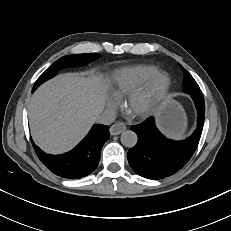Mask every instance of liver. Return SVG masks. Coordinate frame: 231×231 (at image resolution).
<instances>
[{
    "label": "liver",
    "mask_w": 231,
    "mask_h": 231,
    "mask_svg": "<svg viewBox=\"0 0 231 231\" xmlns=\"http://www.w3.org/2000/svg\"><path fill=\"white\" fill-rule=\"evenodd\" d=\"M104 102V86L94 75L66 73L49 80L31 98L33 139L47 153L70 150L97 121Z\"/></svg>",
    "instance_id": "obj_1"
}]
</instances>
